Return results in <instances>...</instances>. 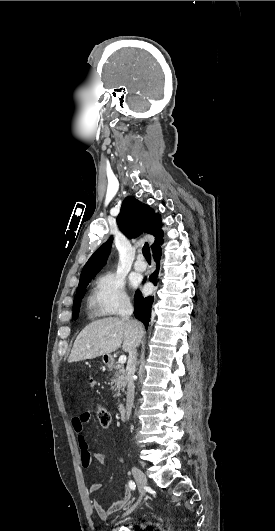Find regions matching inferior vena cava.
Masks as SVG:
<instances>
[{
	"label": "inferior vena cava",
	"mask_w": 275,
	"mask_h": 531,
	"mask_svg": "<svg viewBox=\"0 0 275 531\" xmlns=\"http://www.w3.org/2000/svg\"><path fill=\"white\" fill-rule=\"evenodd\" d=\"M133 313V307L130 303V301H126L124 305H122V311H121V317L123 321H129L131 315ZM129 357H128V363H127V373H128V387H127V397H126V421H129L133 403H134V375H135V369H136V363H137V349L136 347H132L130 351H128Z\"/></svg>",
	"instance_id": "1"
}]
</instances>
